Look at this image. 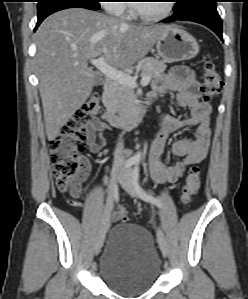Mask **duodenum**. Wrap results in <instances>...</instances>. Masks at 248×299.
I'll list each match as a JSON object with an SVG mask.
<instances>
[{
    "label": "duodenum",
    "mask_w": 248,
    "mask_h": 299,
    "mask_svg": "<svg viewBox=\"0 0 248 299\" xmlns=\"http://www.w3.org/2000/svg\"><path fill=\"white\" fill-rule=\"evenodd\" d=\"M114 88V83L110 80H107L103 85L102 101L106 107L103 114L104 120L115 127L130 129L137 126L147 114L146 105L139 104L124 115L118 114L113 108L110 107L111 96L114 92Z\"/></svg>",
    "instance_id": "duodenum-1"
}]
</instances>
